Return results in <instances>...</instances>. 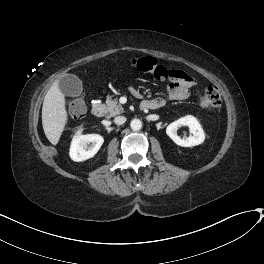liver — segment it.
Returning <instances> with one entry per match:
<instances>
[{"mask_svg":"<svg viewBox=\"0 0 264 264\" xmlns=\"http://www.w3.org/2000/svg\"><path fill=\"white\" fill-rule=\"evenodd\" d=\"M64 93L59 88V80L55 81L44 98L42 106V125L47 139L58 144L68 121Z\"/></svg>","mask_w":264,"mask_h":264,"instance_id":"6515ba94","label":"liver"}]
</instances>
